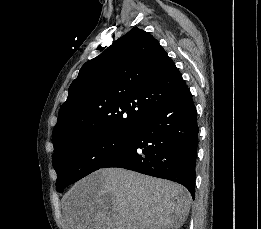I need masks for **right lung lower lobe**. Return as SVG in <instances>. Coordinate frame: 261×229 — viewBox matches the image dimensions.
I'll return each instance as SVG.
<instances>
[{"mask_svg": "<svg viewBox=\"0 0 261 229\" xmlns=\"http://www.w3.org/2000/svg\"><path fill=\"white\" fill-rule=\"evenodd\" d=\"M197 110L183 81L137 130L129 147L102 168L119 167L177 182L195 196Z\"/></svg>", "mask_w": 261, "mask_h": 229, "instance_id": "1", "label": "right lung lower lobe"}]
</instances>
